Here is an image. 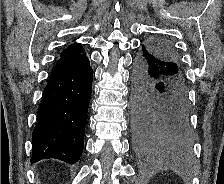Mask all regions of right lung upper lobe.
I'll return each instance as SVG.
<instances>
[{
    "mask_svg": "<svg viewBox=\"0 0 224 184\" xmlns=\"http://www.w3.org/2000/svg\"><path fill=\"white\" fill-rule=\"evenodd\" d=\"M88 61L83 47L79 43L71 44L60 54V58L51 74H59L78 69Z\"/></svg>",
    "mask_w": 224,
    "mask_h": 184,
    "instance_id": "cb5924a9",
    "label": "right lung upper lobe"
}]
</instances>
